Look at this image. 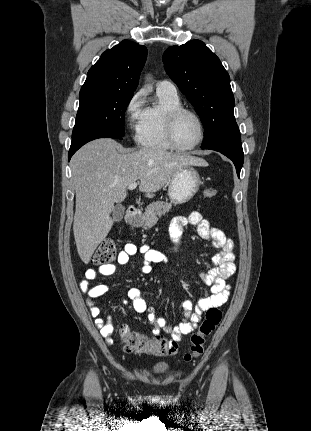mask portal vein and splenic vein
Returning a JSON list of instances; mask_svg holds the SVG:
<instances>
[{
    "instance_id": "1",
    "label": "portal vein and splenic vein",
    "mask_w": 311,
    "mask_h": 431,
    "mask_svg": "<svg viewBox=\"0 0 311 431\" xmlns=\"http://www.w3.org/2000/svg\"><path fill=\"white\" fill-rule=\"evenodd\" d=\"M138 184H136V182H134V184H130V186H128V190H135V188H137Z\"/></svg>"
}]
</instances>
